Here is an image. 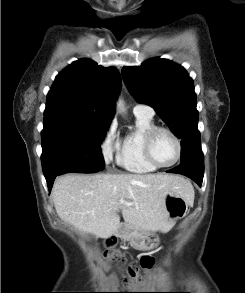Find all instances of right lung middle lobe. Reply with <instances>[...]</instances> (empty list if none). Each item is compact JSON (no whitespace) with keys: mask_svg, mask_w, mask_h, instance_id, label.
<instances>
[{"mask_svg":"<svg viewBox=\"0 0 245 293\" xmlns=\"http://www.w3.org/2000/svg\"><path fill=\"white\" fill-rule=\"evenodd\" d=\"M108 124L86 119L44 117L42 167L45 178L70 168L103 170L100 142Z\"/></svg>","mask_w":245,"mask_h":293,"instance_id":"1","label":"right lung middle lobe"}]
</instances>
